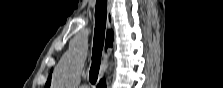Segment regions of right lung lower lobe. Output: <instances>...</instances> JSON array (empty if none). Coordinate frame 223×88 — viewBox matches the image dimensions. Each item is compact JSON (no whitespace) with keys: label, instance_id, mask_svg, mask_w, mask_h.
Segmentation results:
<instances>
[{"label":"right lung lower lobe","instance_id":"1","mask_svg":"<svg viewBox=\"0 0 223 88\" xmlns=\"http://www.w3.org/2000/svg\"><path fill=\"white\" fill-rule=\"evenodd\" d=\"M105 87H106V85H105L104 80H101L99 85H98V88H105Z\"/></svg>","mask_w":223,"mask_h":88}]
</instances>
